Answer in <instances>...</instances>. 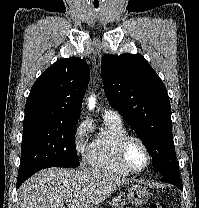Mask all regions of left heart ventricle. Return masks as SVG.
Masks as SVG:
<instances>
[{
    "label": "left heart ventricle",
    "mask_w": 199,
    "mask_h": 208,
    "mask_svg": "<svg viewBox=\"0 0 199 208\" xmlns=\"http://www.w3.org/2000/svg\"><path fill=\"white\" fill-rule=\"evenodd\" d=\"M127 159L134 168H142L146 163L147 156L143 147L137 141H132L127 147Z\"/></svg>",
    "instance_id": "1"
}]
</instances>
